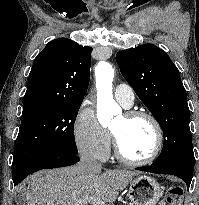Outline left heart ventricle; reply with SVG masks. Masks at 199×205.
I'll list each match as a JSON object with an SVG mask.
<instances>
[{"instance_id": "obj_1", "label": "left heart ventricle", "mask_w": 199, "mask_h": 205, "mask_svg": "<svg viewBox=\"0 0 199 205\" xmlns=\"http://www.w3.org/2000/svg\"><path fill=\"white\" fill-rule=\"evenodd\" d=\"M111 130L127 157L141 159L151 153L155 143V133L147 119H128L122 114L112 122Z\"/></svg>"}]
</instances>
